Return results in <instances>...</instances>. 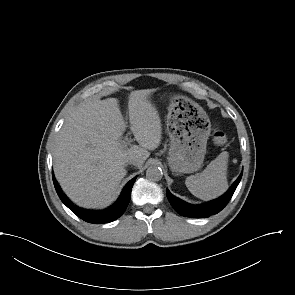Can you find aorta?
Wrapping results in <instances>:
<instances>
[{
  "label": "aorta",
  "mask_w": 295,
  "mask_h": 295,
  "mask_svg": "<svg viewBox=\"0 0 295 295\" xmlns=\"http://www.w3.org/2000/svg\"><path fill=\"white\" fill-rule=\"evenodd\" d=\"M163 173L162 169L157 166H150L146 170V177L150 181H159L162 179Z\"/></svg>",
  "instance_id": "762f6f07"
}]
</instances>
